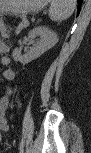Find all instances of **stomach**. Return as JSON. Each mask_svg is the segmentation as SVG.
<instances>
[{"mask_svg": "<svg viewBox=\"0 0 91 153\" xmlns=\"http://www.w3.org/2000/svg\"><path fill=\"white\" fill-rule=\"evenodd\" d=\"M17 3L18 8L27 7L30 4H39L40 1H18Z\"/></svg>", "mask_w": 91, "mask_h": 153, "instance_id": "obj_1", "label": "stomach"}]
</instances>
